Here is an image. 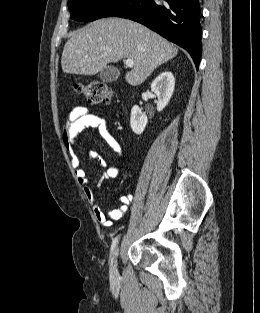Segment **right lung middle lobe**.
I'll return each instance as SVG.
<instances>
[{"label":"right lung middle lobe","mask_w":260,"mask_h":313,"mask_svg":"<svg viewBox=\"0 0 260 313\" xmlns=\"http://www.w3.org/2000/svg\"><path fill=\"white\" fill-rule=\"evenodd\" d=\"M122 0H69L71 18L80 21H94L102 18Z\"/></svg>","instance_id":"obj_1"}]
</instances>
